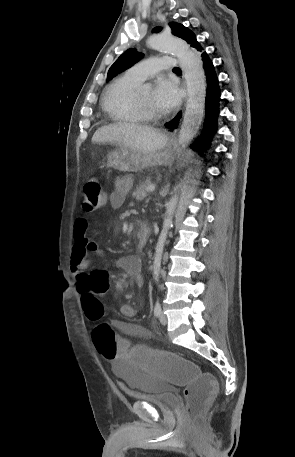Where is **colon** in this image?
Returning <instances> with one entry per match:
<instances>
[{"mask_svg":"<svg viewBox=\"0 0 295 457\" xmlns=\"http://www.w3.org/2000/svg\"><path fill=\"white\" fill-rule=\"evenodd\" d=\"M104 205L105 194L100 180L97 177L88 179L84 185L82 211L91 213ZM109 291L110 276L101 270L87 274V282L81 289L87 318L98 322L92 332L98 355H102L103 360H122L129 362L130 366H141L142 372H160V377L166 378L167 383H180V390H184L187 418L195 420L216 392L217 375L207 374L200 363H189V358L180 357L179 351H163L161 346H135L132 350L131 342L124 341L121 330H113L109 323L101 321L104 309L99 297Z\"/></svg>","mask_w":295,"mask_h":457,"instance_id":"obj_1","label":"colon"}]
</instances>
